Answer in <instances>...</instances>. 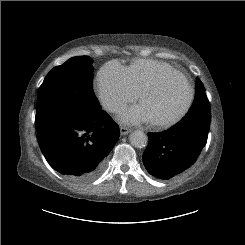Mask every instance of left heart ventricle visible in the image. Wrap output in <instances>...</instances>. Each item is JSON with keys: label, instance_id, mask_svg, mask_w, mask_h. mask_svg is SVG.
I'll use <instances>...</instances> for the list:
<instances>
[{"label": "left heart ventricle", "instance_id": "left-heart-ventricle-1", "mask_svg": "<svg viewBox=\"0 0 245 245\" xmlns=\"http://www.w3.org/2000/svg\"><path fill=\"white\" fill-rule=\"evenodd\" d=\"M189 95L184 79L174 75L165 79L160 89L145 97L141 104L150 121L164 120L179 113L187 104Z\"/></svg>", "mask_w": 245, "mask_h": 245}]
</instances>
